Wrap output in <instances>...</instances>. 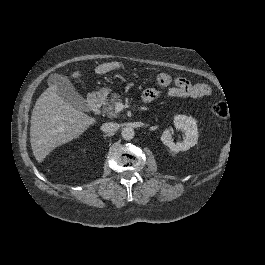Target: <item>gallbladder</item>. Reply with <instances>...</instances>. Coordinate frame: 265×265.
I'll list each match as a JSON object with an SVG mask.
<instances>
[{
	"label": "gallbladder",
	"instance_id": "obj_1",
	"mask_svg": "<svg viewBox=\"0 0 265 265\" xmlns=\"http://www.w3.org/2000/svg\"><path fill=\"white\" fill-rule=\"evenodd\" d=\"M48 85L57 86V95L77 110L89 111L86 100L75 90L70 80L60 74H51L48 77Z\"/></svg>",
	"mask_w": 265,
	"mask_h": 265
}]
</instances>
